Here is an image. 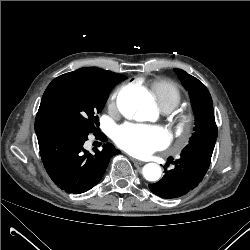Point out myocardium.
Wrapping results in <instances>:
<instances>
[{
	"mask_svg": "<svg viewBox=\"0 0 250 250\" xmlns=\"http://www.w3.org/2000/svg\"><path fill=\"white\" fill-rule=\"evenodd\" d=\"M192 127V117L189 114H181L175 121V128L185 139L189 136Z\"/></svg>",
	"mask_w": 250,
	"mask_h": 250,
	"instance_id": "1",
	"label": "myocardium"
}]
</instances>
